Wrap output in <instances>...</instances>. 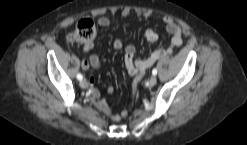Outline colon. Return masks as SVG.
I'll return each instance as SVG.
<instances>
[{
    "label": "colon",
    "mask_w": 247,
    "mask_h": 145,
    "mask_svg": "<svg viewBox=\"0 0 247 145\" xmlns=\"http://www.w3.org/2000/svg\"><path fill=\"white\" fill-rule=\"evenodd\" d=\"M96 36V26L91 19H82L75 29L69 34L68 40L72 43L88 44ZM138 81H134V90H136Z\"/></svg>",
    "instance_id": "obj_1"
}]
</instances>
